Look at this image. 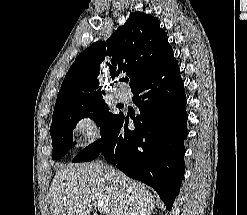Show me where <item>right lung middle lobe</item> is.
<instances>
[{
	"label": "right lung middle lobe",
	"mask_w": 247,
	"mask_h": 215,
	"mask_svg": "<svg viewBox=\"0 0 247 215\" xmlns=\"http://www.w3.org/2000/svg\"><path fill=\"white\" fill-rule=\"evenodd\" d=\"M90 111L96 112L92 118L99 122L98 126L101 128V133L118 117L109 111V107L102 96L74 104L54 113L50 127L53 160L64 156L75 145L72 137L74 126L81 117Z\"/></svg>",
	"instance_id": "1"
}]
</instances>
